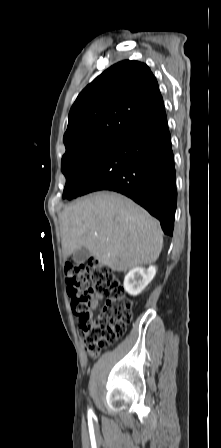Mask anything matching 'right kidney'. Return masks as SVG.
<instances>
[{"label": "right kidney", "mask_w": 221, "mask_h": 448, "mask_svg": "<svg viewBox=\"0 0 221 448\" xmlns=\"http://www.w3.org/2000/svg\"><path fill=\"white\" fill-rule=\"evenodd\" d=\"M155 274V266H150L148 269L142 267L131 269L124 278L125 291L132 296H137L152 281Z\"/></svg>", "instance_id": "ca27d5eb"}]
</instances>
